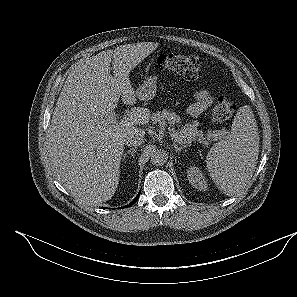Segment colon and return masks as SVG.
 I'll use <instances>...</instances> for the list:
<instances>
[{
	"label": "colon",
	"mask_w": 297,
	"mask_h": 297,
	"mask_svg": "<svg viewBox=\"0 0 297 297\" xmlns=\"http://www.w3.org/2000/svg\"><path fill=\"white\" fill-rule=\"evenodd\" d=\"M157 65L162 70H167L189 80L202 77V64L199 58L182 54H165L158 58ZM234 104L226 97H220L211 113L214 124H222L230 119L234 112Z\"/></svg>",
	"instance_id": "obj_1"
}]
</instances>
